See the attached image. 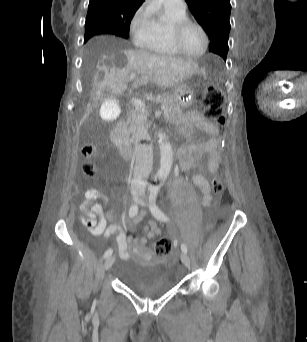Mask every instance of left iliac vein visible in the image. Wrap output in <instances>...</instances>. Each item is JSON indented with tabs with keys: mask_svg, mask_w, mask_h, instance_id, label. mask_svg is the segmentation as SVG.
Returning <instances> with one entry per match:
<instances>
[{
	"mask_svg": "<svg viewBox=\"0 0 307 342\" xmlns=\"http://www.w3.org/2000/svg\"><path fill=\"white\" fill-rule=\"evenodd\" d=\"M140 204H141L142 206H145V205H146L144 200H141V201H140ZM180 258H181L182 263H183L186 267H189V266H190V258H189V256H188L186 253L182 252L181 255H180Z\"/></svg>",
	"mask_w": 307,
	"mask_h": 342,
	"instance_id": "left-iliac-vein-1",
	"label": "left iliac vein"
}]
</instances>
